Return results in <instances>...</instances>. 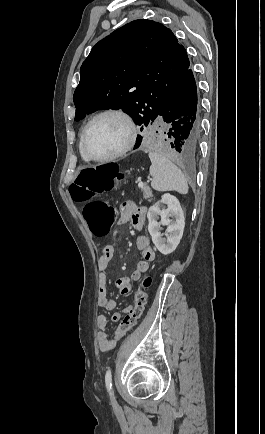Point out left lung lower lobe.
<instances>
[{
  "instance_id": "1",
  "label": "left lung lower lobe",
  "mask_w": 265,
  "mask_h": 434,
  "mask_svg": "<svg viewBox=\"0 0 265 434\" xmlns=\"http://www.w3.org/2000/svg\"><path fill=\"white\" fill-rule=\"evenodd\" d=\"M157 118H162L169 124L167 132L170 139L169 148L183 155L196 153L201 134V121L196 82L190 66L162 103ZM136 142L134 149L140 146L142 136L138 135Z\"/></svg>"
}]
</instances>
